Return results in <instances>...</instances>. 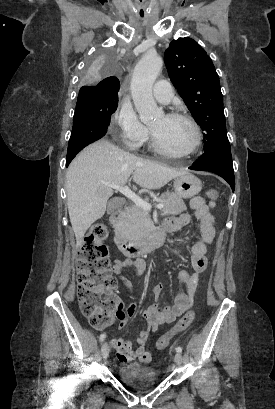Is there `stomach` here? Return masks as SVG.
<instances>
[{
	"label": "stomach",
	"instance_id": "1",
	"mask_svg": "<svg viewBox=\"0 0 275 409\" xmlns=\"http://www.w3.org/2000/svg\"><path fill=\"white\" fill-rule=\"evenodd\" d=\"M174 188L175 192H177L181 198H192V196L200 192L202 182L195 174L187 172V174H182V176H176Z\"/></svg>",
	"mask_w": 275,
	"mask_h": 409
}]
</instances>
